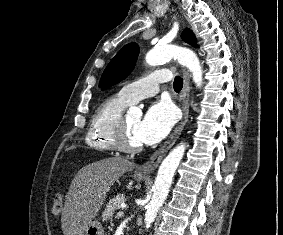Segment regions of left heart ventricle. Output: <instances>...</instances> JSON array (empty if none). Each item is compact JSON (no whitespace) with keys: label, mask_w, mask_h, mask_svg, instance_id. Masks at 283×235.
Listing matches in <instances>:
<instances>
[{"label":"left heart ventricle","mask_w":283,"mask_h":235,"mask_svg":"<svg viewBox=\"0 0 283 235\" xmlns=\"http://www.w3.org/2000/svg\"><path fill=\"white\" fill-rule=\"evenodd\" d=\"M140 123L139 118H127L125 119L128 139L131 144H140V141L136 135L137 126Z\"/></svg>","instance_id":"1"}]
</instances>
